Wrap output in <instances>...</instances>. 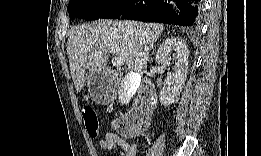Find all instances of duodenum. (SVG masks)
Masks as SVG:
<instances>
[{"label": "duodenum", "instance_id": "410a0bca", "mask_svg": "<svg viewBox=\"0 0 261 156\" xmlns=\"http://www.w3.org/2000/svg\"><path fill=\"white\" fill-rule=\"evenodd\" d=\"M156 92L152 85L145 83L141 91L140 98L130 115V122L135 125L139 122L148 120L154 111V100Z\"/></svg>", "mask_w": 261, "mask_h": 156}]
</instances>
